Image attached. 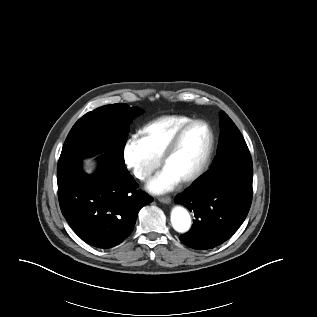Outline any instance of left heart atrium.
Listing matches in <instances>:
<instances>
[{
	"mask_svg": "<svg viewBox=\"0 0 317 317\" xmlns=\"http://www.w3.org/2000/svg\"><path fill=\"white\" fill-rule=\"evenodd\" d=\"M179 182L180 178L169 168L165 167L150 181L148 189L152 193L162 194L172 190Z\"/></svg>",
	"mask_w": 317,
	"mask_h": 317,
	"instance_id": "obj_1",
	"label": "left heart atrium"
}]
</instances>
